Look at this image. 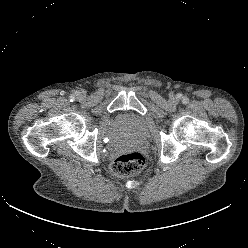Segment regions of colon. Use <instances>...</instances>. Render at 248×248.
Returning <instances> with one entry per match:
<instances>
[{
	"label": "colon",
	"mask_w": 248,
	"mask_h": 248,
	"mask_svg": "<svg viewBox=\"0 0 248 248\" xmlns=\"http://www.w3.org/2000/svg\"><path fill=\"white\" fill-rule=\"evenodd\" d=\"M144 166V156L138 152H131L115 158L110 169L116 176L127 177L140 173Z\"/></svg>",
	"instance_id": "obj_1"
}]
</instances>
